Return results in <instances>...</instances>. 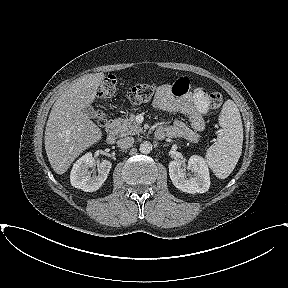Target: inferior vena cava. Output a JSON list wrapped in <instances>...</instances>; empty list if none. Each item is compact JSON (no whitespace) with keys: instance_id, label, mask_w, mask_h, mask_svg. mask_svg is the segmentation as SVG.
I'll return each instance as SVG.
<instances>
[{"instance_id":"inferior-vena-cava-1","label":"inferior vena cava","mask_w":288,"mask_h":288,"mask_svg":"<svg viewBox=\"0 0 288 288\" xmlns=\"http://www.w3.org/2000/svg\"><path fill=\"white\" fill-rule=\"evenodd\" d=\"M134 144V138L133 137H124L122 139H119L117 141V145L122 149H127L132 147Z\"/></svg>"}]
</instances>
